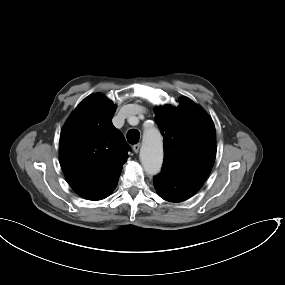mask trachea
<instances>
[{
    "label": "trachea",
    "instance_id": "trachea-1",
    "mask_svg": "<svg viewBox=\"0 0 285 285\" xmlns=\"http://www.w3.org/2000/svg\"><path fill=\"white\" fill-rule=\"evenodd\" d=\"M140 133L136 129H131L127 133V141L130 144H136L139 141Z\"/></svg>",
    "mask_w": 285,
    "mask_h": 285
}]
</instances>
